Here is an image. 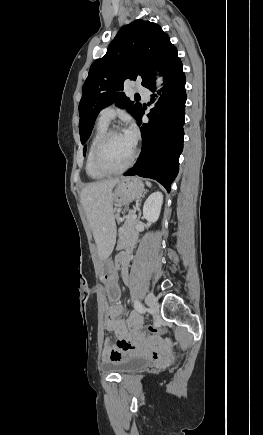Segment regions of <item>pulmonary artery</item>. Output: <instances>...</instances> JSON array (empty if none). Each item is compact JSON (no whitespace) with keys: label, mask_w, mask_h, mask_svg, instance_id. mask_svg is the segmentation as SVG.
Returning <instances> with one entry per match:
<instances>
[{"label":"pulmonary artery","mask_w":263,"mask_h":435,"mask_svg":"<svg viewBox=\"0 0 263 435\" xmlns=\"http://www.w3.org/2000/svg\"><path fill=\"white\" fill-rule=\"evenodd\" d=\"M135 89L137 92L142 94L144 97L148 96V90L140 84H136ZM116 115V108L114 105H110L102 109L99 113L98 120L104 123H110V121Z\"/></svg>","instance_id":"1"}]
</instances>
